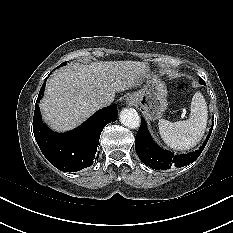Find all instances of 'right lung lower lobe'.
I'll list each match as a JSON object with an SVG mask.
<instances>
[{
    "instance_id": "1",
    "label": "right lung lower lobe",
    "mask_w": 233,
    "mask_h": 233,
    "mask_svg": "<svg viewBox=\"0 0 233 233\" xmlns=\"http://www.w3.org/2000/svg\"><path fill=\"white\" fill-rule=\"evenodd\" d=\"M45 84L40 89L37 102L44 95ZM117 115V106L113 104L97 111L78 128L58 134L42 123L36 103L33 132L40 150L53 166L61 171L76 172L91 166L97 159L100 134L106 124L116 121Z\"/></svg>"
}]
</instances>
